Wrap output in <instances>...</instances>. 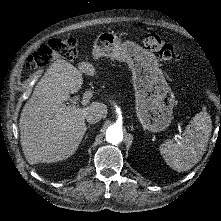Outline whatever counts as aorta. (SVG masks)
Listing matches in <instances>:
<instances>
[{"mask_svg":"<svg viewBox=\"0 0 221 221\" xmlns=\"http://www.w3.org/2000/svg\"><path fill=\"white\" fill-rule=\"evenodd\" d=\"M106 140L107 142L116 145L123 140L122 127L119 125H111L106 130Z\"/></svg>","mask_w":221,"mask_h":221,"instance_id":"aorta-1","label":"aorta"}]
</instances>
